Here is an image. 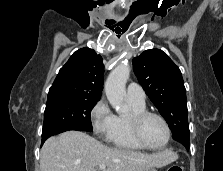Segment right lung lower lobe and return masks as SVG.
<instances>
[{"mask_svg":"<svg viewBox=\"0 0 223 171\" xmlns=\"http://www.w3.org/2000/svg\"><path fill=\"white\" fill-rule=\"evenodd\" d=\"M68 130H77V131H84L83 129L79 128V127H75V126H64V127H61V128H58L56 129L54 132L51 133V136L52 135H56V134H59V133H62V132H65V131H68ZM50 137V136H49ZM49 137H44L42 138V144L44 143V141L49 138Z\"/></svg>","mask_w":223,"mask_h":171,"instance_id":"right-lung-lower-lobe-1","label":"right lung lower lobe"}]
</instances>
